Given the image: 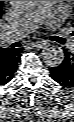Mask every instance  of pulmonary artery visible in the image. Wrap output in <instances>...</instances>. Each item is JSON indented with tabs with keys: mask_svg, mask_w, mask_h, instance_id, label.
<instances>
[{
	"mask_svg": "<svg viewBox=\"0 0 74 122\" xmlns=\"http://www.w3.org/2000/svg\"><path fill=\"white\" fill-rule=\"evenodd\" d=\"M55 2L56 1H40L34 11L26 14L4 31L2 36L3 40L7 43H11L34 31L51 11Z\"/></svg>",
	"mask_w": 74,
	"mask_h": 122,
	"instance_id": "e3ab8cb5",
	"label": "pulmonary artery"
}]
</instances>
